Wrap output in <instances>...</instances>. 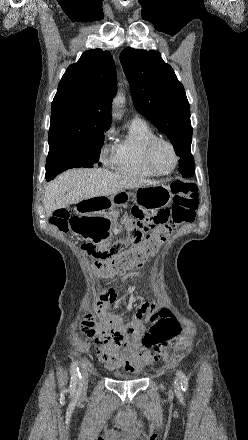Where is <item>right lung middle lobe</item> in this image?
Wrapping results in <instances>:
<instances>
[{
    "label": "right lung middle lobe",
    "instance_id": "right-lung-middle-lobe-1",
    "mask_svg": "<svg viewBox=\"0 0 248 440\" xmlns=\"http://www.w3.org/2000/svg\"><path fill=\"white\" fill-rule=\"evenodd\" d=\"M107 129L91 132L78 139H70L49 145L46 161V179L52 180L59 173L74 167L99 166V154Z\"/></svg>",
    "mask_w": 248,
    "mask_h": 440
}]
</instances>
